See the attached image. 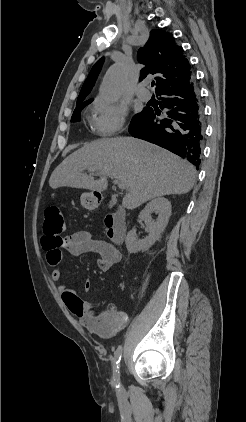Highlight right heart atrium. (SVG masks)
I'll return each instance as SVG.
<instances>
[{
  "label": "right heart atrium",
  "mask_w": 246,
  "mask_h": 422,
  "mask_svg": "<svg viewBox=\"0 0 246 422\" xmlns=\"http://www.w3.org/2000/svg\"><path fill=\"white\" fill-rule=\"evenodd\" d=\"M126 115L124 107L97 98L91 106L90 125L97 135L110 137L123 129Z\"/></svg>",
  "instance_id": "obj_1"
}]
</instances>
